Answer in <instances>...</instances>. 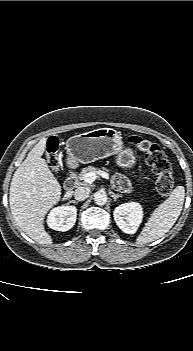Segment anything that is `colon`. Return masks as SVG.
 <instances>
[{"label": "colon", "mask_w": 193, "mask_h": 351, "mask_svg": "<svg viewBox=\"0 0 193 351\" xmlns=\"http://www.w3.org/2000/svg\"><path fill=\"white\" fill-rule=\"evenodd\" d=\"M128 142L134 146L139 152L145 155L148 165L156 174V190L162 197H167L173 190L174 178L172 167L162 151L155 143L138 135H132L128 138ZM59 142L57 138L51 137L46 145V160L54 173L60 170V159L58 155Z\"/></svg>", "instance_id": "5ec220e1"}]
</instances>
